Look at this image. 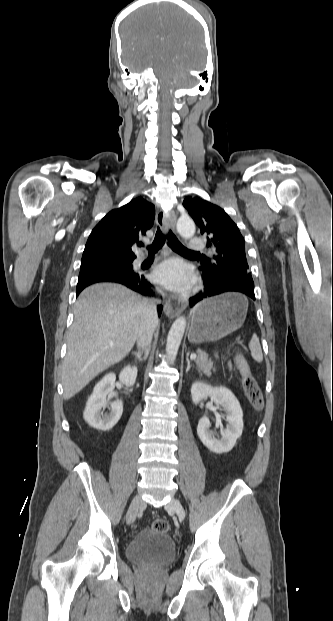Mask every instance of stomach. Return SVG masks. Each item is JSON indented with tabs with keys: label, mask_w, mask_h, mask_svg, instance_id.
Instances as JSON below:
<instances>
[{
	"label": "stomach",
	"mask_w": 333,
	"mask_h": 621,
	"mask_svg": "<svg viewBox=\"0 0 333 621\" xmlns=\"http://www.w3.org/2000/svg\"><path fill=\"white\" fill-rule=\"evenodd\" d=\"M247 303L240 294L225 293L195 306L188 339L192 343L215 342L244 323Z\"/></svg>",
	"instance_id": "0dacf381"
}]
</instances>
